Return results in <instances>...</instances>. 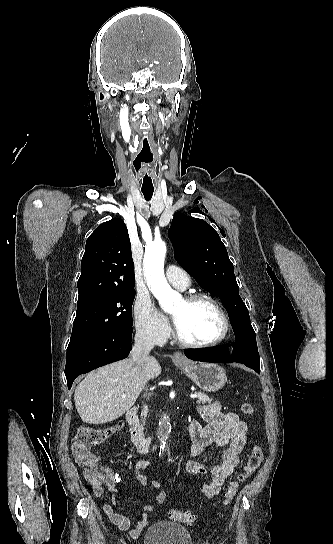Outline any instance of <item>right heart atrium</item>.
Here are the masks:
<instances>
[{
    "label": "right heart atrium",
    "mask_w": 333,
    "mask_h": 544,
    "mask_svg": "<svg viewBox=\"0 0 333 544\" xmlns=\"http://www.w3.org/2000/svg\"><path fill=\"white\" fill-rule=\"evenodd\" d=\"M134 324L140 338L152 343H162L169 335L167 320L154 307L148 295H138L134 302Z\"/></svg>",
    "instance_id": "right-heart-atrium-1"
}]
</instances>
